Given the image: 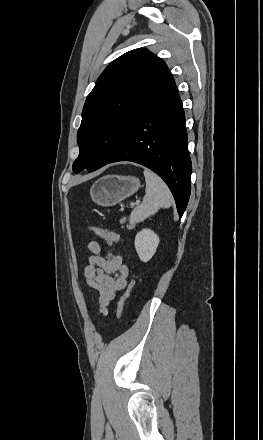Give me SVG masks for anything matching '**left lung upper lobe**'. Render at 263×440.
I'll use <instances>...</instances> for the list:
<instances>
[{"label":"left lung upper lobe","instance_id":"5c2ea615","mask_svg":"<svg viewBox=\"0 0 263 440\" xmlns=\"http://www.w3.org/2000/svg\"><path fill=\"white\" fill-rule=\"evenodd\" d=\"M169 74L164 61L146 49L129 51L107 66L84 104L75 173L95 171L119 151L135 117Z\"/></svg>","mask_w":263,"mask_h":440}]
</instances>
